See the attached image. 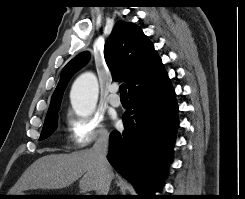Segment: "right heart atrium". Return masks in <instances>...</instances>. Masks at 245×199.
<instances>
[{
  "label": "right heart atrium",
  "instance_id": "1",
  "mask_svg": "<svg viewBox=\"0 0 245 199\" xmlns=\"http://www.w3.org/2000/svg\"><path fill=\"white\" fill-rule=\"evenodd\" d=\"M67 131L69 142L74 149H84L95 142H105L109 137L103 117L96 113L79 116L69 111Z\"/></svg>",
  "mask_w": 245,
  "mask_h": 199
}]
</instances>
